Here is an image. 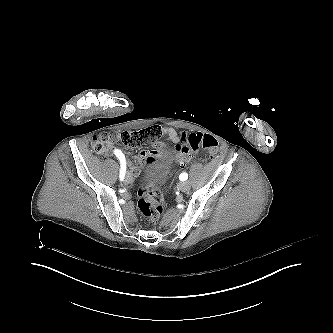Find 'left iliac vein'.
<instances>
[{
  "instance_id": "left-iliac-vein-1",
  "label": "left iliac vein",
  "mask_w": 333,
  "mask_h": 333,
  "mask_svg": "<svg viewBox=\"0 0 333 333\" xmlns=\"http://www.w3.org/2000/svg\"><path fill=\"white\" fill-rule=\"evenodd\" d=\"M178 187H179V189H180L182 192H187V191H189V189H190V184H189V182H187V181H185V182H180V183L178 184Z\"/></svg>"
}]
</instances>
